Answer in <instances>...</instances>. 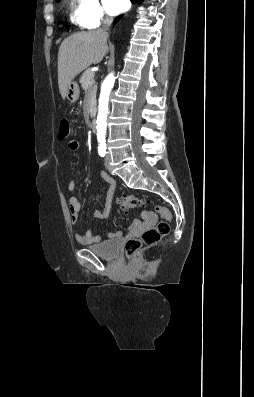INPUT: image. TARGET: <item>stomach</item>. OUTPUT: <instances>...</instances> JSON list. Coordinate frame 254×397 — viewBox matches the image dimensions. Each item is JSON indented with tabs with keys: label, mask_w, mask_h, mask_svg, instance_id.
Returning <instances> with one entry per match:
<instances>
[{
	"label": "stomach",
	"mask_w": 254,
	"mask_h": 397,
	"mask_svg": "<svg viewBox=\"0 0 254 397\" xmlns=\"http://www.w3.org/2000/svg\"><path fill=\"white\" fill-rule=\"evenodd\" d=\"M80 95L79 85L76 81H71L67 87L66 98L70 103H75Z\"/></svg>",
	"instance_id": "obj_1"
}]
</instances>
